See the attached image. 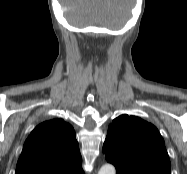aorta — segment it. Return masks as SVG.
Returning a JSON list of instances; mask_svg holds the SVG:
<instances>
[{
  "label": "aorta",
  "instance_id": "1",
  "mask_svg": "<svg viewBox=\"0 0 187 174\" xmlns=\"http://www.w3.org/2000/svg\"><path fill=\"white\" fill-rule=\"evenodd\" d=\"M98 174H116V170L113 165L105 164L100 168Z\"/></svg>",
  "mask_w": 187,
  "mask_h": 174
}]
</instances>
